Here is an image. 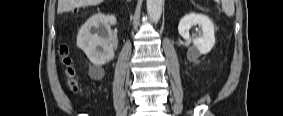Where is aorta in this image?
Instances as JSON below:
<instances>
[{
    "label": "aorta",
    "mask_w": 283,
    "mask_h": 116,
    "mask_svg": "<svg viewBox=\"0 0 283 116\" xmlns=\"http://www.w3.org/2000/svg\"><path fill=\"white\" fill-rule=\"evenodd\" d=\"M147 12L151 21L157 23L162 14V0H147Z\"/></svg>",
    "instance_id": "762f6f07"
}]
</instances>
